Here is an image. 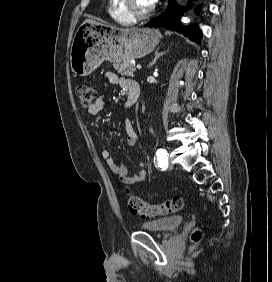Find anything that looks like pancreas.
<instances>
[{"mask_svg":"<svg viewBox=\"0 0 272 282\" xmlns=\"http://www.w3.org/2000/svg\"><path fill=\"white\" fill-rule=\"evenodd\" d=\"M114 68L118 71L119 74L129 77H133L134 72L136 71L135 66L129 61H126L124 63H116L114 64Z\"/></svg>","mask_w":272,"mask_h":282,"instance_id":"1","label":"pancreas"}]
</instances>
